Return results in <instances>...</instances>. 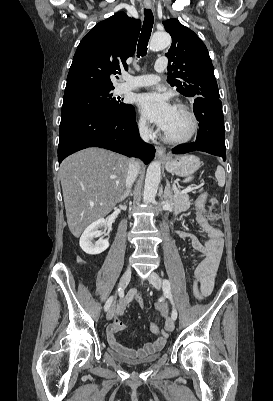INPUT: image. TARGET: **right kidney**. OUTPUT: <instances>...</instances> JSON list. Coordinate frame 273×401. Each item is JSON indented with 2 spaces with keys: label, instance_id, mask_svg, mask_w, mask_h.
Wrapping results in <instances>:
<instances>
[{
  "label": "right kidney",
  "instance_id": "obj_1",
  "mask_svg": "<svg viewBox=\"0 0 273 401\" xmlns=\"http://www.w3.org/2000/svg\"><path fill=\"white\" fill-rule=\"evenodd\" d=\"M104 225H107L105 219H98V221L89 225V227L85 229L82 237H80L79 245L82 251L87 253V255H100V253L108 249L109 241L108 239H102L101 231H99ZM97 237H100V239H98L96 243H93L94 239H97Z\"/></svg>",
  "mask_w": 273,
  "mask_h": 401
}]
</instances>
